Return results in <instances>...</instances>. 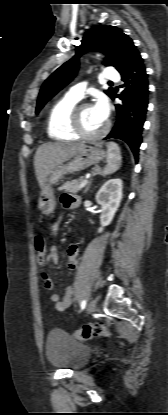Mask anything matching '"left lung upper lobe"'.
Segmentation results:
<instances>
[{"mask_svg": "<svg viewBox=\"0 0 168 415\" xmlns=\"http://www.w3.org/2000/svg\"><path fill=\"white\" fill-rule=\"evenodd\" d=\"M87 51H99L106 55L105 65L114 66L120 73L126 69L131 60L139 53L131 38L115 26H97L87 31L76 55L55 70L44 82L38 96L36 113L45 103L66 86L76 75L79 57ZM115 89L104 92L111 97Z\"/></svg>", "mask_w": 168, "mask_h": 415, "instance_id": "left-lung-upper-lobe-1", "label": "left lung upper lobe"}]
</instances>
